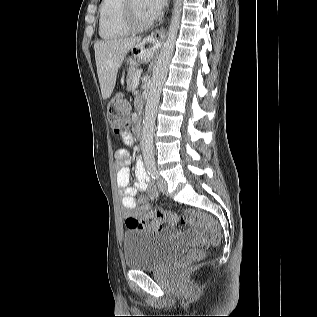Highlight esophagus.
I'll list each match as a JSON object with an SVG mask.
<instances>
[{
  "mask_svg": "<svg viewBox=\"0 0 317 317\" xmlns=\"http://www.w3.org/2000/svg\"><path fill=\"white\" fill-rule=\"evenodd\" d=\"M165 38V31L163 28L160 30H156L155 32H152L150 35H148L145 40L147 41H161Z\"/></svg>",
  "mask_w": 317,
  "mask_h": 317,
  "instance_id": "1",
  "label": "esophagus"
}]
</instances>
